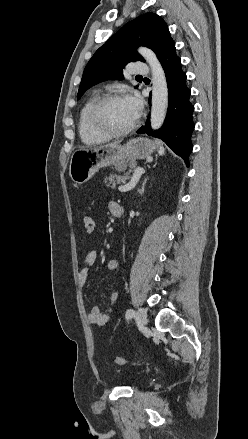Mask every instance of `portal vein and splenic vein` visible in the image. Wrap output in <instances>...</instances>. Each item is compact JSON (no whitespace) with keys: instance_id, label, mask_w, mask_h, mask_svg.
<instances>
[{"instance_id":"1","label":"portal vein and splenic vein","mask_w":248,"mask_h":439,"mask_svg":"<svg viewBox=\"0 0 248 439\" xmlns=\"http://www.w3.org/2000/svg\"><path fill=\"white\" fill-rule=\"evenodd\" d=\"M143 173H144V170L142 168H137L135 170V173L133 174V177L131 178L130 182L123 185V186H119L118 190L120 192H127V191L131 190L132 188H134L136 183L138 182L140 176Z\"/></svg>"}]
</instances>
